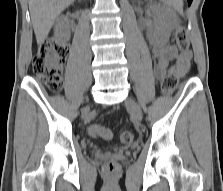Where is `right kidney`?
<instances>
[{"label":"right kidney","mask_w":223,"mask_h":191,"mask_svg":"<svg viewBox=\"0 0 223 191\" xmlns=\"http://www.w3.org/2000/svg\"><path fill=\"white\" fill-rule=\"evenodd\" d=\"M55 34L57 43H63L70 38L69 18L61 16L55 24Z\"/></svg>","instance_id":"obj_1"}]
</instances>
